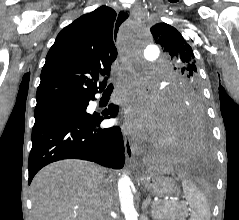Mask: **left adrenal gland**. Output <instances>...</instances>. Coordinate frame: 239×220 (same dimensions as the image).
I'll return each instance as SVG.
<instances>
[{
	"mask_svg": "<svg viewBox=\"0 0 239 220\" xmlns=\"http://www.w3.org/2000/svg\"><path fill=\"white\" fill-rule=\"evenodd\" d=\"M150 197L148 196L144 201H143V204H142V211L145 215L148 214V206L150 205Z\"/></svg>",
	"mask_w": 239,
	"mask_h": 220,
	"instance_id": "left-adrenal-gland-1",
	"label": "left adrenal gland"
}]
</instances>
